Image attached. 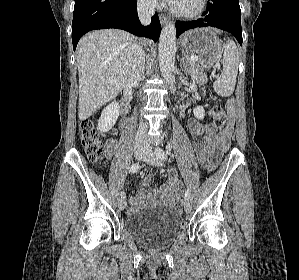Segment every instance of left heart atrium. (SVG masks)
<instances>
[{"mask_svg": "<svg viewBox=\"0 0 299 280\" xmlns=\"http://www.w3.org/2000/svg\"><path fill=\"white\" fill-rule=\"evenodd\" d=\"M164 1H166L169 4H174L176 2V0H164Z\"/></svg>", "mask_w": 299, "mask_h": 280, "instance_id": "39dd6f15", "label": "left heart atrium"}]
</instances>
